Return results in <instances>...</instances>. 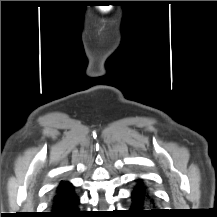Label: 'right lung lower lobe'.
Masks as SVG:
<instances>
[{
    "label": "right lung lower lobe",
    "instance_id": "obj_1",
    "mask_svg": "<svg viewBox=\"0 0 217 217\" xmlns=\"http://www.w3.org/2000/svg\"><path fill=\"white\" fill-rule=\"evenodd\" d=\"M79 197L73 187L56 192L51 200V211L42 217H86L83 211L78 210Z\"/></svg>",
    "mask_w": 217,
    "mask_h": 217
}]
</instances>
